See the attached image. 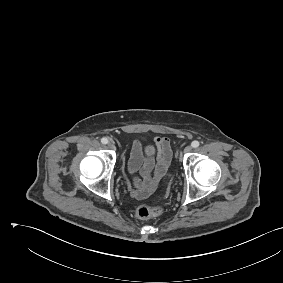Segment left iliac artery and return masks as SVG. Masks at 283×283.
<instances>
[{
	"instance_id": "44dca946",
	"label": "left iliac artery",
	"mask_w": 283,
	"mask_h": 283,
	"mask_svg": "<svg viewBox=\"0 0 283 283\" xmlns=\"http://www.w3.org/2000/svg\"><path fill=\"white\" fill-rule=\"evenodd\" d=\"M191 146L193 147V148H197L198 146H199V142L198 141H193L192 143H191Z\"/></svg>"
}]
</instances>
